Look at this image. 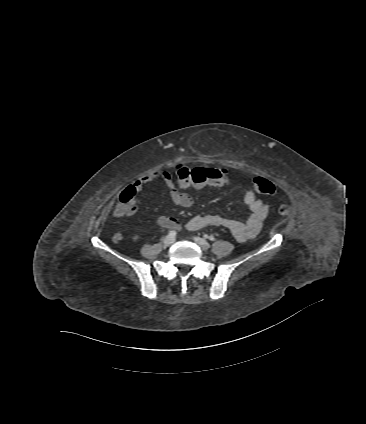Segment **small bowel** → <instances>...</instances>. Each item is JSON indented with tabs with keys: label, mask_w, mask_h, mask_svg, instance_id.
<instances>
[{
	"label": "small bowel",
	"mask_w": 366,
	"mask_h": 424,
	"mask_svg": "<svg viewBox=\"0 0 366 424\" xmlns=\"http://www.w3.org/2000/svg\"><path fill=\"white\" fill-rule=\"evenodd\" d=\"M215 170L219 178H216L217 180L209 186H222L227 183V170L220 167L215 168ZM154 179H161L166 184L171 200L176 205L190 207L193 204V198L189 194L180 191L174 184L171 175L165 171H158L139 178L134 182L132 188L137 191ZM195 188L200 189V187ZM255 191L254 184H250L244 194L243 201L250 210V215L244 221L224 218L214 214L196 215L186 223L185 228L189 231H197L209 226L223 227L238 241H246L254 238L261 230L263 222L268 214V206L256 197ZM114 214L118 216L116 213ZM156 223L160 227L167 229L182 230L183 228L177 219L169 216H160L156 220ZM113 239L116 242L120 241L122 239L120 232H116ZM132 239L138 241L139 236L134 235Z\"/></svg>",
	"instance_id": "1"
}]
</instances>
